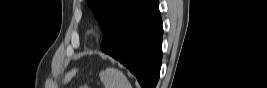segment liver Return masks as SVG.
I'll return each mask as SVG.
<instances>
[{
	"label": "liver",
	"instance_id": "obj_1",
	"mask_svg": "<svg viewBox=\"0 0 267 88\" xmlns=\"http://www.w3.org/2000/svg\"><path fill=\"white\" fill-rule=\"evenodd\" d=\"M72 75V73L68 74V77H70Z\"/></svg>",
	"mask_w": 267,
	"mask_h": 88
}]
</instances>
